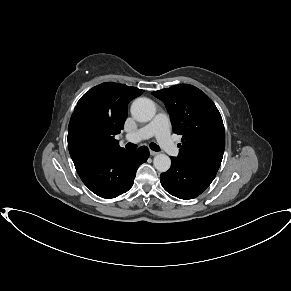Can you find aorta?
<instances>
[{
    "label": "aorta",
    "instance_id": "762f6f07",
    "mask_svg": "<svg viewBox=\"0 0 291 291\" xmlns=\"http://www.w3.org/2000/svg\"><path fill=\"white\" fill-rule=\"evenodd\" d=\"M155 113V104L149 98H137L131 105V114L137 121L148 122L152 120ZM153 164L159 172H166L171 166V160L166 154L160 153L154 157Z\"/></svg>",
    "mask_w": 291,
    "mask_h": 291
}]
</instances>
